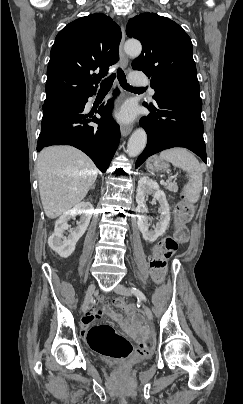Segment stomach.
<instances>
[{
	"label": "stomach",
	"instance_id": "stomach-1",
	"mask_svg": "<svg viewBox=\"0 0 243 404\" xmlns=\"http://www.w3.org/2000/svg\"><path fill=\"white\" fill-rule=\"evenodd\" d=\"M146 168L151 174L165 172L169 169V163L168 161L161 160L159 157L154 156L147 160Z\"/></svg>",
	"mask_w": 243,
	"mask_h": 404
}]
</instances>
